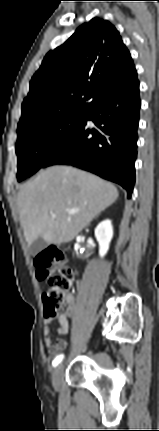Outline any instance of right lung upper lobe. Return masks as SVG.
<instances>
[{
    "mask_svg": "<svg viewBox=\"0 0 159 431\" xmlns=\"http://www.w3.org/2000/svg\"><path fill=\"white\" fill-rule=\"evenodd\" d=\"M136 78L119 32L110 22L94 18L46 54L30 82L17 130L61 112L88 113Z\"/></svg>",
    "mask_w": 159,
    "mask_h": 431,
    "instance_id": "1",
    "label": "right lung upper lobe"
}]
</instances>
